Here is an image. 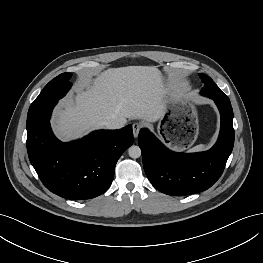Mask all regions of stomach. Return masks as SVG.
I'll use <instances>...</instances> for the list:
<instances>
[{
  "mask_svg": "<svg viewBox=\"0 0 263 263\" xmlns=\"http://www.w3.org/2000/svg\"><path fill=\"white\" fill-rule=\"evenodd\" d=\"M164 101L166 109L170 111L169 120L173 124H177L176 127L169 130L167 129L168 122L163 126L169 145L176 150H185L191 147L198 135V118L195 106L169 89L165 94Z\"/></svg>",
  "mask_w": 263,
  "mask_h": 263,
  "instance_id": "obj_1",
  "label": "stomach"
}]
</instances>
